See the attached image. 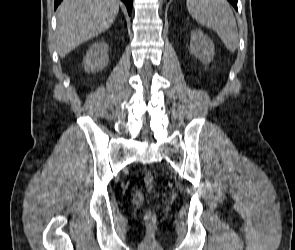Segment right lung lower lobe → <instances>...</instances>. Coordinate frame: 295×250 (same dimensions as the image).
<instances>
[{
  "label": "right lung lower lobe",
  "instance_id": "1",
  "mask_svg": "<svg viewBox=\"0 0 295 250\" xmlns=\"http://www.w3.org/2000/svg\"><path fill=\"white\" fill-rule=\"evenodd\" d=\"M62 0H55V5H54V8L56 9L57 6L59 5V3L61 2ZM126 7H127V10H128V13L129 15L131 14V11H132V4H133V0H122Z\"/></svg>",
  "mask_w": 295,
  "mask_h": 250
}]
</instances>
